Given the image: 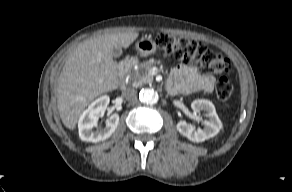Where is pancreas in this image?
<instances>
[{"mask_svg":"<svg viewBox=\"0 0 292 192\" xmlns=\"http://www.w3.org/2000/svg\"><path fill=\"white\" fill-rule=\"evenodd\" d=\"M155 65V62L149 60L138 64L137 69L130 72V81L135 85L150 84L153 82V76L149 70Z\"/></svg>","mask_w":292,"mask_h":192,"instance_id":"pancreas-1","label":"pancreas"}]
</instances>
